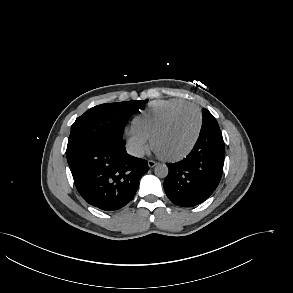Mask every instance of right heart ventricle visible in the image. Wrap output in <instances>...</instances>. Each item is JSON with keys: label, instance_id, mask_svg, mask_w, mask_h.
I'll list each match as a JSON object with an SVG mask.
<instances>
[{"label": "right heart ventricle", "instance_id": "obj_1", "mask_svg": "<svg viewBox=\"0 0 293 293\" xmlns=\"http://www.w3.org/2000/svg\"><path fill=\"white\" fill-rule=\"evenodd\" d=\"M187 104L190 102L180 98L153 101L133 119L132 129L150 139L154 131L172 111Z\"/></svg>", "mask_w": 293, "mask_h": 293}]
</instances>
